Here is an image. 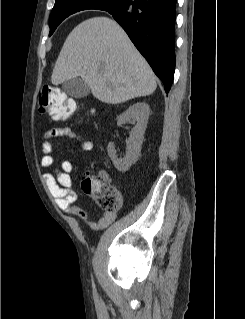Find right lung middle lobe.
Instances as JSON below:
<instances>
[{
	"mask_svg": "<svg viewBox=\"0 0 245 319\" xmlns=\"http://www.w3.org/2000/svg\"><path fill=\"white\" fill-rule=\"evenodd\" d=\"M123 0H56L50 16V33L55 31L57 26L69 15L85 9H110Z\"/></svg>",
	"mask_w": 245,
	"mask_h": 319,
	"instance_id": "right-lung-middle-lobe-1",
	"label": "right lung middle lobe"
}]
</instances>
